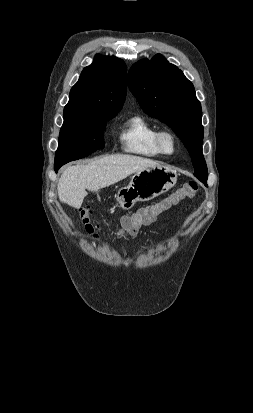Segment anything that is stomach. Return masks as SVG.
Instances as JSON below:
<instances>
[{"label":"stomach","instance_id":"stomach-1","mask_svg":"<svg viewBox=\"0 0 253 413\" xmlns=\"http://www.w3.org/2000/svg\"><path fill=\"white\" fill-rule=\"evenodd\" d=\"M176 181V172L164 166L138 171L130 183L118 191V203L123 209H130L137 201H149L167 192Z\"/></svg>","mask_w":253,"mask_h":413}]
</instances>
